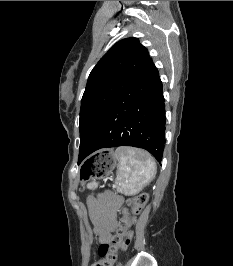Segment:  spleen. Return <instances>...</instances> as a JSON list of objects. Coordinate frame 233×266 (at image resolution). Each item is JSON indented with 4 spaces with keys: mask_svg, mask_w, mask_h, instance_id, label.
Here are the masks:
<instances>
[{
    "mask_svg": "<svg viewBox=\"0 0 233 266\" xmlns=\"http://www.w3.org/2000/svg\"><path fill=\"white\" fill-rule=\"evenodd\" d=\"M113 156L118 160L119 192L134 195L155 177L156 164L149 154L141 150L121 147L116 149ZM96 186V183L87 185L89 189H94Z\"/></svg>",
    "mask_w": 233,
    "mask_h": 266,
    "instance_id": "spleen-1",
    "label": "spleen"
}]
</instances>
